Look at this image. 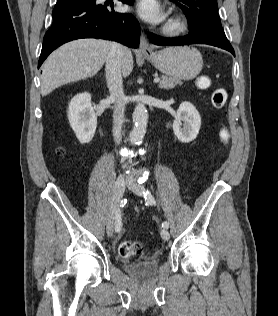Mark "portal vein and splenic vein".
I'll list each match as a JSON object with an SVG mask.
<instances>
[{
    "mask_svg": "<svg viewBox=\"0 0 278 316\" xmlns=\"http://www.w3.org/2000/svg\"><path fill=\"white\" fill-rule=\"evenodd\" d=\"M160 82V79L159 78H155L154 79V83H159Z\"/></svg>",
    "mask_w": 278,
    "mask_h": 316,
    "instance_id": "portal-vein-and-splenic-vein-1",
    "label": "portal vein and splenic vein"
}]
</instances>
